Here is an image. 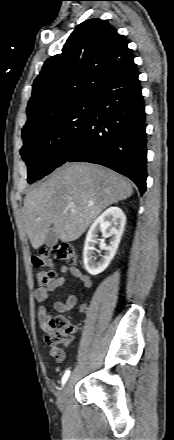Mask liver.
I'll return each mask as SVG.
<instances>
[{"label":"liver","instance_id":"liver-1","mask_svg":"<svg viewBox=\"0 0 174 440\" xmlns=\"http://www.w3.org/2000/svg\"><path fill=\"white\" fill-rule=\"evenodd\" d=\"M132 194L130 181L111 169L91 163H65L26 194L25 231L34 249L45 243L51 226L61 241H74L104 209Z\"/></svg>","mask_w":174,"mask_h":440}]
</instances>
